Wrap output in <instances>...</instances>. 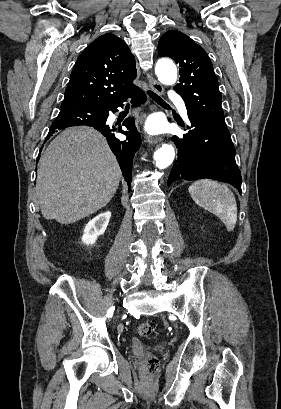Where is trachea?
Here are the masks:
<instances>
[{
    "label": "trachea",
    "mask_w": 281,
    "mask_h": 409,
    "mask_svg": "<svg viewBox=\"0 0 281 409\" xmlns=\"http://www.w3.org/2000/svg\"><path fill=\"white\" fill-rule=\"evenodd\" d=\"M148 95L155 100V102L159 103V104H163V105H168L161 97H159V95H157L156 93L152 92L151 90H148Z\"/></svg>",
    "instance_id": "3493384b"
}]
</instances>
